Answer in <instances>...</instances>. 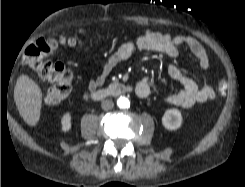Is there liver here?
Instances as JSON below:
<instances>
[{
	"label": "liver",
	"instance_id": "liver-1",
	"mask_svg": "<svg viewBox=\"0 0 245 187\" xmlns=\"http://www.w3.org/2000/svg\"><path fill=\"white\" fill-rule=\"evenodd\" d=\"M43 93L27 75H20L14 89V99L20 116L30 126L40 120Z\"/></svg>",
	"mask_w": 245,
	"mask_h": 187
}]
</instances>
